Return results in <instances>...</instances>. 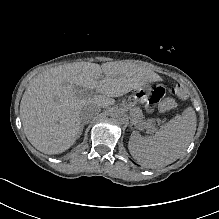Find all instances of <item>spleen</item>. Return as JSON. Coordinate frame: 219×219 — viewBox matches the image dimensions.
Masks as SVG:
<instances>
[{"label":"spleen","instance_id":"3e777b00","mask_svg":"<svg viewBox=\"0 0 219 219\" xmlns=\"http://www.w3.org/2000/svg\"><path fill=\"white\" fill-rule=\"evenodd\" d=\"M196 114L192 108L171 119L154 136L134 133L129 141L132 157L148 168H161L180 158L196 131Z\"/></svg>","mask_w":219,"mask_h":219}]
</instances>
